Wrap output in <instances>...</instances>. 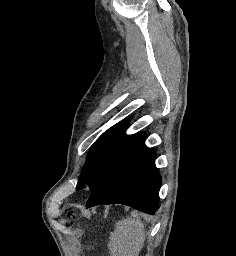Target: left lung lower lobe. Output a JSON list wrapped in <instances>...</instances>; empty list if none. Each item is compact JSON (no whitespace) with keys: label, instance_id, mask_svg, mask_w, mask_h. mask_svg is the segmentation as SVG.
<instances>
[{"label":"left lung lower lobe","instance_id":"0a47b994","mask_svg":"<svg viewBox=\"0 0 236 256\" xmlns=\"http://www.w3.org/2000/svg\"><path fill=\"white\" fill-rule=\"evenodd\" d=\"M145 134L130 141L107 177L93 190L87 208L125 204L148 214L159 207L161 176L155 167L156 153L144 144Z\"/></svg>","mask_w":236,"mask_h":256}]
</instances>
